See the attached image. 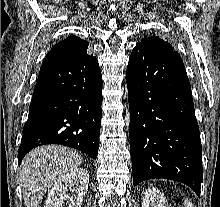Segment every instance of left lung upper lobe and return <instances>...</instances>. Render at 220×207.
<instances>
[{
  "label": "left lung upper lobe",
  "instance_id": "obj_1",
  "mask_svg": "<svg viewBox=\"0 0 220 207\" xmlns=\"http://www.w3.org/2000/svg\"><path fill=\"white\" fill-rule=\"evenodd\" d=\"M138 44H142V45H149V46H153L156 48H164V49H170V50H174V48L171 46L170 43H168L167 41H164L163 39H160L158 36H150L148 38H143L141 42H139Z\"/></svg>",
  "mask_w": 220,
  "mask_h": 207
}]
</instances>
